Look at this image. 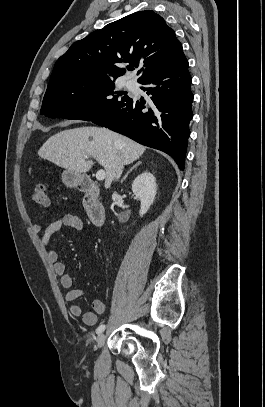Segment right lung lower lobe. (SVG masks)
Wrapping results in <instances>:
<instances>
[{"instance_id": "98d812e1", "label": "right lung lower lobe", "mask_w": 265, "mask_h": 407, "mask_svg": "<svg viewBox=\"0 0 265 407\" xmlns=\"http://www.w3.org/2000/svg\"><path fill=\"white\" fill-rule=\"evenodd\" d=\"M139 83L148 103L130 98L92 122L169 154L184 170L194 98L184 53Z\"/></svg>"}]
</instances>
